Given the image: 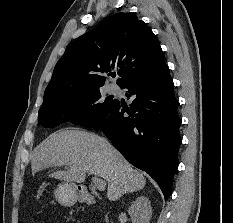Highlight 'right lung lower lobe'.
Wrapping results in <instances>:
<instances>
[{
    "label": "right lung lower lobe",
    "mask_w": 233,
    "mask_h": 223,
    "mask_svg": "<svg viewBox=\"0 0 233 223\" xmlns=\"http://www.w3.org/2000/svg\"><path fill=\"white\" fill-rule=\"evenodd\" d=\"M120 87L128 89L130 109L116 100L84 127L103 131L131 164L157 181L167 199L181 144L179 103L173 93L169 68L164 62Z\"/></svg>",
    "instance_id": "98d812e1"
}]
</instances>
